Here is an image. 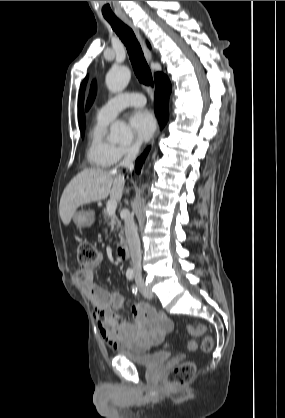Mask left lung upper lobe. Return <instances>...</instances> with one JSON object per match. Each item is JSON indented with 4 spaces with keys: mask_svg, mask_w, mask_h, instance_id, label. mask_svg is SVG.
Returning <instances> with one entry per match:
<instances>
[{
    "mask_svg": "<svg viewBox=\"0 0 285 418\" xmlns=\"http://www.w3.org/2000/svg\"><path fill=\"white\" fill-rule=\"evenodd\" d=\"M95 96H96V84H95V82H92L91 88H90L89 97H88V100H87V105H86V109L87 110L92 105V103H93V101L95 99Z\"/></svg>",
    "mask_w": 285,
    "mask_h": 418,
    "instance_id": "1",
    "label": "left lung upper lobe"
}]
</instances>
